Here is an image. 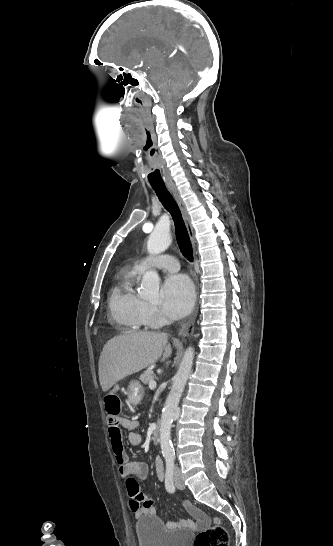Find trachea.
Listing matches in <instances>:
<instances>
[{
  "label": "trachea",
  "instance_id": "trachea-1",
  "mask_svg": "<svg viewBox=\"0 0 333 546\" xmlns=\"http://www.w3.org/2000/svg\"><path fill=\"white\" fill-rule=\"evenodd\" d=\"M159 176L161 177L160 171L155 170L153 173L149 174V176ZM152 188L156 192L160 202L163 204L165 209L171 214L174 224H175V230H176V237L178 241V245L180 248V251L182 254L190 261H193V249L192 244L189 238V234L186 228V225L184 223L181 211L174 200L171 193L168 191L165 184H152Z\"/></svg>",
  "mask_w": 333,
  "mask_h": 546
}]
</instances>
